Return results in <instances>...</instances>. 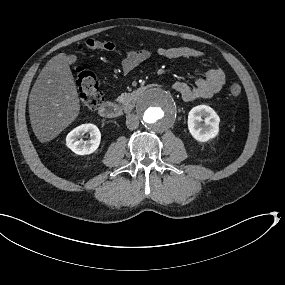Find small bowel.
<instances>
[{
    "mask_svg": "<svg viewBox=\"0 0 285 285\" xmlns=\"http://www.w3.org/2000/svg\"><path fill=\"white\" fill-rule=\"evenodd\" d=\"M156 54L166 59H200L205 55L202 51L187 47H162L157 49ZM152 56L149 49L127 50L121 60V70L128 74L147 61ZM226 77L219 67L209 68L204 75L198 77L194 85L182 81L173 84V89L184 101L207 99L217 94L224 86Z\"/></svg>",
    "mask_w": 285,
    "mask_h": 285,
    "instance_id": "small-bowel-1",
    "label": "small bowel"
}]
</instances>
